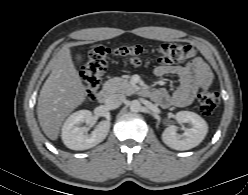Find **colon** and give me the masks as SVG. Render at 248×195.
<instances>
[{"instance_id": "1", "label": "colon", "mask_w": 248, "mask_h": 195, "mask_svg": "<svg viewBox=\"0 0 248 195\" xmlns=\"http://www.w3.org/2000/svg\"><path fill=\"white\" fill-rule=\"evenodd\" d=\"M197 51L193 45L180 42H166L149 50L140 45L109 48L97 46L92 48L82 70V80L87 101L95 98L102 84L105 70L113 64L122 63L132 66L158 63L171 65L193 58ZM199 108L204 116L213 114L219 104L216 92L203 89L198 95Z\"/></svg>"}]
</instances>
